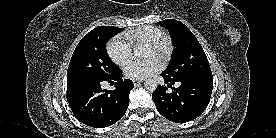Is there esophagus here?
Listing matches in <instances>:
<instances>
[{
    "instance_id": "esophagus-1",
    "label": "esophagus",
    "mask_w": 276,
    "mask_h": 138,
    "mask_svg": "<svg viewBox=\"0 0 276 138\" xmlns=\"http://www.w3.org/2000/svg\"><path fill=\"white\" fill-rule=\"evenodd\" d=\"M142 82V80H137V79H133V84L136 86L138 84H140Z\"/></svg>"
}]
</instances>
